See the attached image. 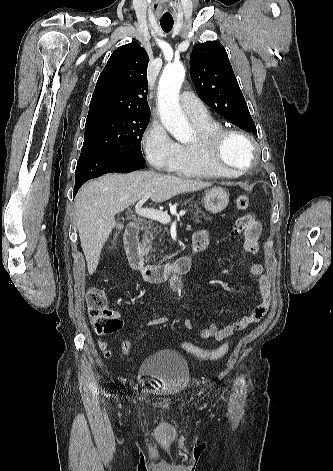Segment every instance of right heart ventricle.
I'll list each match as a JSON object with an SVG mask.
<instances>
[{
    "label": "right heart ventricle",
    "instance_id": "obj_1",
    "mask_svg": "<svg viewBox=\"0 0 333 471\" xmlns=\"http://www.w3.org/2000/svg\"><path fill=\"white\" fill-rule=\"evenodd\" d=\"M197 137L217 131L222 125L210 115L198 120H191ZM196 137V138H197ZM170 171L174 174L191 178L234 177L238 174L222 171L210 163L205 153L196 146L195 140L179 145L178 157Z\"/></svg>",
    "mask_w": 333,
    "mask_h": 471
}]
</instances>
